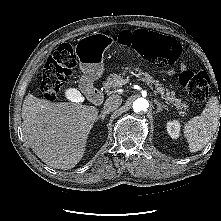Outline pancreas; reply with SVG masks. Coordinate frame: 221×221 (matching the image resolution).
I'll list each match as a JSON object with an SVG mask.
<instances>
[{"instance_id":"obj_1","label":"pancreas","mask_w":221,"mask_h":221,"mask_svg":"<svg viewBox=\"0 0 221 221\" xmlns=\"http://www.w3.org/2000/svg\"><path fill=\"white\" fill-rule=\"evenodd\" d=\"M136 72V76L141 79L143 82H145L150 87H154L156 89V92L161 94L162 97L167 101L168 104L175 106L177 110L179 111V114L184 116L186 115L185 111H188V105L183 102L181 99L175 97L174 92H170L168 89L162 88L160 86L159 81L155 80L151 75L148 73H144L141 70L135 69L132 73ZM127 71L125 70L123 74H116L112 73L110 74L106 81L103 83V86L105 89H115L118 87H121L124 85V79L125 74ZM135 74V73H134Z\"/></svg>"}]
</instances>
